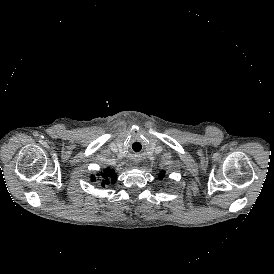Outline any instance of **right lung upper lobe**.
<instances>
[{
	"label": "right lung upper lobe",
	"instance_id": "obj_1",
	"mask_svg": "<svg viewBox=\"0 0 274 274\" xmlns=\"http://www.w3.org/2000/svg\"><path fill=\"white\" fill-rule=\"evenodd\" d=\"M102 176L101 180L104 179L101 183V186L104 187L105 185H108L110 182L114 183L117 179V175L114 170L110 169L109 167L106 168L103 172L98 174ZM97 181V179L92 176V182Z\"/></svg>",
	"mask_w": 274,
	"mask_h": 274
}]
</instances>
